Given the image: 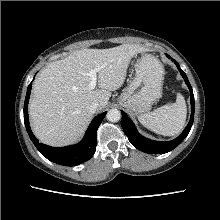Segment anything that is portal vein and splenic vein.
<instances>
[{
	"label": "portal vein and splenic vein",
	"mask_w": 220,
	"mask_h": 220,
	"mask_svg": "<svg viewBox=\"0 0 220 220\" xmlns=\"http://www.w3.org/2000/svg\"><path fill=\"white\" fill-rule=\"evenodd\" d=\"M99 71V68L91 69L88 73L91 81L89 83V89L93 90L97 85V72Z\"/></svg>",
	"instance_id": "obj_1"
}]
</instances>
